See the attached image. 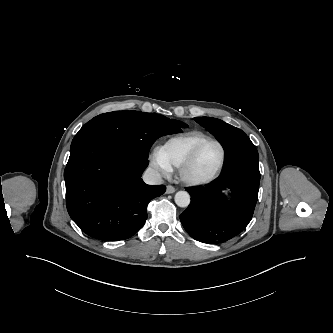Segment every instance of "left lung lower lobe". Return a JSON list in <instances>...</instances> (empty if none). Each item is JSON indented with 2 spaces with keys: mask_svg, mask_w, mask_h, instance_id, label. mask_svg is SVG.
<instances>
[{
  "mask_svg": "<svg viewBox=\"0 0 333 333\" xmlns=\"http://www.w3.org/2000/svg\"><path fill=\"white\" fill-rule=\"evenodd\" d=\"M224 150L223 172L205 186L186 189L191 202L180 215L187 233L203 243H222L241 233L251 221L258 199L259 156L254 144L242 135ZM228 190L232 200L225 203Z\"/></svg>",
  "mask_w": 333,
  "mask_h": 333,
  "instance_id": "obj_1",
  "label": "left lung lower lobe"
}]
</instances>
